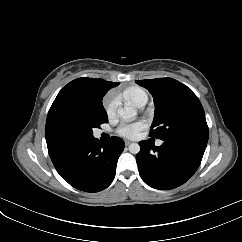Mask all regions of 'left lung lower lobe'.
<instances>
[{
	"label": "left lung lower lobe",
	"instance_id": "left-lung-lower-lobe-1",
	"mask_svg": "<svg viewBox=\"0 0 242 242\" xmlns=\"http://www.w3.org/2000/svg\"><path fill=\"white\" fill-rule=\"evenodd\" d=\"M139 145L136 161L141 178L155 189L169 190L184 184L196 172L207 143L164 141L157 147L141 141Z\"/></svg>",
	"mask_w": 242,
	"mask_h": 242
}]
</instances>
